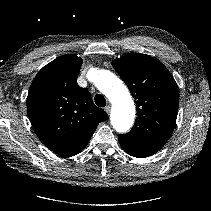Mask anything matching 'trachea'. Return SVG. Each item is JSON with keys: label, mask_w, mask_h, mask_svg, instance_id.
I'll list each match as a JSON object with an SVG mask.
<instances>
[{"label": "trachea", "mask_w": 211, "mask_h": 211, "mask_svg": "<svg viewBox=\"0 0 211 211\" xmlns=\"http://www.w3.org/2000/svg\"><path fill=\"white\" fill-rule=\"evenodd\" d=\"M94 100H95V103H96L97 106H99V107H105V105H106V99L104 98L103 95H101V94L95 95Z\"/></svg>", "instance_id": "obj_1"}]
</instances>
